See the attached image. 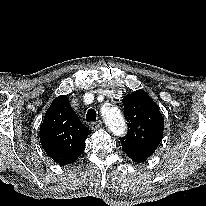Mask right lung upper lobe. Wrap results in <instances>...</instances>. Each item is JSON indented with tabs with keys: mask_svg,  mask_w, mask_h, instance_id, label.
I'll return each mask as SVG.
<instances>
[{
	"mask_svg": "<svg viewBox=\"0 0 206 206\" xmlns=\"http://www.w3.org/2000/svg\"><path fill=\"white\" fill-rule=\"evenodd\" d=\"M90 134L66 95L55 98L40 127V142L49 157L61 165L73 163L84 151Z\"/></svg>",
	"mask_w": 206,
	"mask_h": 206,
	"instance_id": "1",
	"label": "right lung upper lobe"
}]
</instances>
